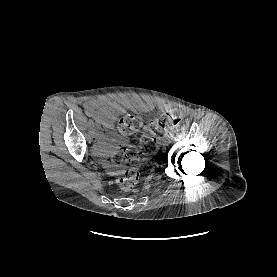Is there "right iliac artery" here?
<instances>
[{
    "mask_svg": "<svg viewBox=\"0 0 277 277\" xmlns=\"http://www.w3.org/2000/svg\"><path fill=\"white\" fill-rule=\"evenodd\" d=\"M94 133H95V134H98V135L100 134V130H99L98 127H96V128L94 129Z\"/></svg>",
    "mask_w": 277,
    "mask_h": 277,
    "instance_id": "right-iliac-artery-1",
    "label": "right iliac artery"
}]
</instances>
